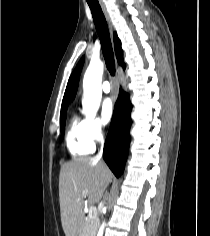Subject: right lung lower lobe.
I'll use <instances>...</instances> for the list:
<instances>
[{
  "label": "right lung lower lobe",
  "mask_w": 210,
  "mask_h": 236,
  "mask_svg": "<svg viewBox=\"0 0 210 236\" xmlns=\"http://www.w3.org/2000/svg\"><path fill=\"white\" fill-rule=\"evenodd\" d=\"M130 112L129 97L120 90L103 151V158L116 177L122 174L128 154Z\"/></svg>",
  "instance_id": "obj_1"
}]
</instances>
